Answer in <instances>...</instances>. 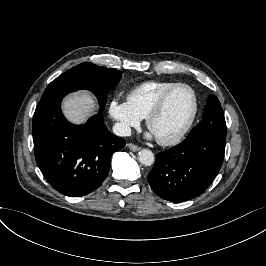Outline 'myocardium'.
<instances>
[{
    "label": "myocardium",
    "mask_w": 266,
    "mask_h": 266,
    "mask_svg": "<svg viewBox=\"0 0 266 266\" xmlns=\"http://www.w3.org/2000/svg\"><path fill=\"white\" fill-rule=\"evenodd\" d=\"M180 87H185L188 88L194 97V102H195V106H194V111L193 114L189 120V122L186 124V126L174 137L172 138H157V141L160 144L163 145H175L177 143H179L186 135L187 133L192 129L198 114H199V110H200V102H199V97L198 94L196 92V90L187 83H177L174 86H172L171 88L167 89L165 92H163L161 94V96L158 98V100L156 101V103L152 106V108L149 110L147 116H146V124L148 126V128L150 129V123L153 120V118L155 116H157L164 108L169 96L178 88Z\"/></svg>",
    "instance_id": "obj_1"
}]
</instances>
